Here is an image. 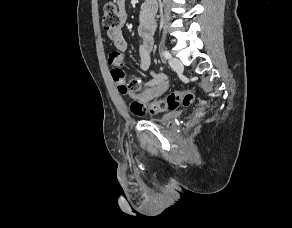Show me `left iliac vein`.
Returning a JSON list of instances; mask_svg holds the SVG:
<instances>
[{
    "instance_id": "obj_1",
    "label": "left iliac vein",
    "mask_w": 292,
    "mask_h": 228,
    "mask_svg": "<svg viewBox=\"0 0 292 228\" xmlns=\"http://www.w3.org/2000/svg\"><path fill=\"white\" fill-rule=\"evenodd\" d=\"M169 64L172 67V69L178 73H181L183 71V64L182 62L177 58H170Z\"/></svg>"
}]
</instances>
